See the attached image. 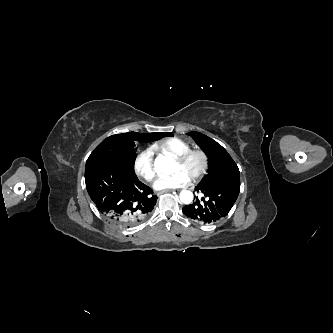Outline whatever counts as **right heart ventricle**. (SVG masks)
<instances>
[{"mask_svg":"<svg viewBox=\"0 0 333 333\" xmlns=\"http://www.w3.org/2000/svg\"><path fill=\"white\" fill-rule=\"evenodd\" d=\"M153 149L158 150L163 154L170 155L174 158L180 156L181 154L189 151L191 149L190 145L182 139L179 138H168L156 142L153 145Z\"/></svg>","mask_w":333,"mask_h":333,"instance_id":"obj_1","label":"right heart ventricle"}]
</instances>
